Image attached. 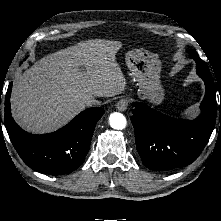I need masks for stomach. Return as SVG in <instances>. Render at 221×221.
Listing matches in <instances>:
<instances>
[{
    "mask_svg": "<svg viewBox=\"0 0 221 221\" xmlns=\"http://www.w3.org/2000/svg\"><path fill=\"white\" fill-rule=\"evenodd\" d=\"M130 75L137 82L138 96L153 105L164 99L160 83L161 61L156 54L145 50H132L126 54Z\"/></svg>",
    "mask_w": 221,
    "mask_h": 221,
    "instance_id": "stomach-1",
    "label": "stomach"
}]
</instances>
